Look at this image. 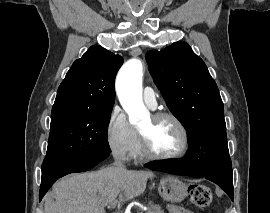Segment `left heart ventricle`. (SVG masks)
<instances>
[{"instance_id": "left-heart-ventricle-1", "label": "left heart ventricle", "mask_w": 270, "mask_h": 213, "mask_svg": "<svg viewBox=\"0 0 270 213\" xmlns=\"http://www.w3.org/2000/svg\"><path fill=\"white\" fill-rule=\"evenodd\" d=\"M139 130L148 136L150 147L157 154H173L182 146L181 131L171 119L154 121L150 116Z\"/></svg>"}]
</instances>
